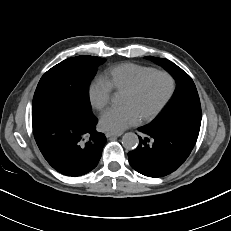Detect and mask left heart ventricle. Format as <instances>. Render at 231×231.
<instances>
[{"instance_id": "obj_1", "label": "left heart ventricle", "mask_w": 231, "mask_h": 231, "mask_svg": "<svg viewBox=\"0 0 231 231\" xmlns=\"http://www.w3.org/2000/svg\"><path fill=\"white\" fill-rule=\"evenodd\" d=\"M169 90L170 80L164 75H154L137 92L124 93L122 104L132 106L141 118L154 111L165 99Z\"/></svg>"}]
</instances>
